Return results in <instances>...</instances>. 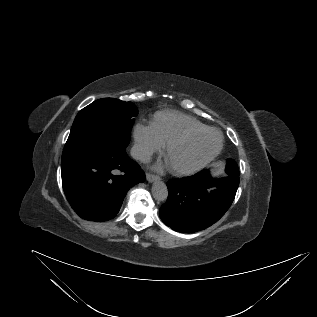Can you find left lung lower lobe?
<instances>
[{
  "instance_id": "obj_1",
  "label": "left lung lower lobe",
  "mask_w": 317,
  "mask_h": 317,
  "mask_svg": "<svg viewBox=\"0 0 317 317\" xmlns=\"http://www.w3.org/2000/svg\"><path fill=\"white\" fill-rule=\"evenodd\" d=\"M214 179L208 170L167 182L169 195L160 208V218L173 230L192 233L217 222L231 206L239 175Z\"/></svg>"
}]
</instances>
